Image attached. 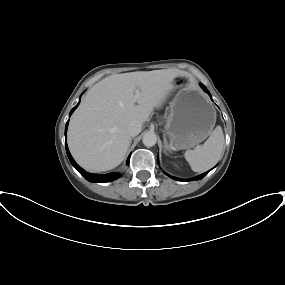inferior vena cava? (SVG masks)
Returning <instances> with one entry per match:
<instances>
[{
	"label": "inferior vena cava",
	"mask_w": 285,
	"mask_h": 285,
	"mask_svg": "<svg viewBox=\"0 0 285 285\" xmlns=\"http://www.w3.org/2000/svg\"><path fill=\"white\" fill-rule=\"evenodd\" d=\"M142 129V123L138 120H132L127 125V132L130 136H137Z\"/></svg>",
	"instance_id": "602c4592"
}]
</instances>
